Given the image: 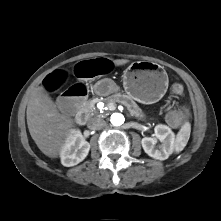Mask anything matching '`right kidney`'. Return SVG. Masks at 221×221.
<instances>
[{"label":"right kidney","mask_w":221,"mask_h":221,"mask_svg":"<svg viewBox=\"0 0 221 221\" xmlns=\"http://www.w3.org/2000/svg\"><path fill=\"white\" fill-rule=\"evenodd\" d=\"M90 144L79 130L73 129L67 136L61 149L60 157L63 166L71 167L82 162L88 155Z\"/></svg>","instance_id":"ca27d5eb"}]
</instances>
